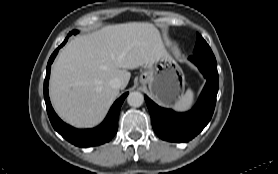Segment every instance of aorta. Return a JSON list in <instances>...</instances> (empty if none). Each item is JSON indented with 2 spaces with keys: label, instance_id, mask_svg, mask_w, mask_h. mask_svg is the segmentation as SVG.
<instances>
[{
  "label": "aorta",
  "instance_id": "1",
  "mask_svg": "<svg viewBox=\"0 0 278 174\" xmlns=\"http://www.w3.org/2000/svg\"><path fill=\"white\" fill-rule=\"evenodd\" d=\"M144 102V96L138 91L131 92L127 97V103L131 107H140Z\"/></svg>",
  "mask_w": 278,
  "mask_h": 174
}]
</instances>
